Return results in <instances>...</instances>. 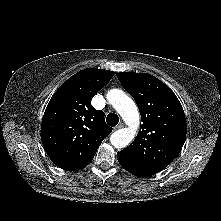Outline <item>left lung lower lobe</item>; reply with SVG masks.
Returning a JSON list of instances; mask_svg holds the SVG:
<instances>
[{
    "instance_id": "0a47b994",
    "label": "left lung lower lobe",
    "mask_w": 221,
    "mask_h": 221,
    "mask_svg": "<svg viewBox=\"0 0 221 221\" xmlns=\"http://www.w3.org/2000/svg\"><path fill=\"white\" fill-rule=\"evenodd\" d=\"M117 156H118V162L120 163V165L133 175H136L139 177H148L161 171L154 167L140 163L134 158L124 154L121 151L117 153Z\"/></svg>"
}]
</instances>
